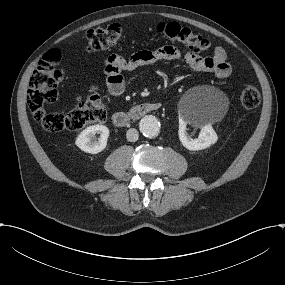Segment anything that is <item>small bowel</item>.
I'll list each match as a JSON object with an SVG mask.
<instances>
[{
	"mask_svg": "<svg viewBox=\"0 0 285 285\" xmlns=\"http://www.w3.org/2000/svg\"><path fill=\"white\" fill-rule=\"evenodd\" d=\"M184 60L193 70L212 73L219 79H225L232 73V66L227 62L226 50L217 46L211 57H202L197 52L178 49L165 45L153 50H140L130 58L125 59L119 55H111L104 62L103 74L108 92L112 96H119L124 91L122 72L132 71L141 66L158 61Z\"/></svg>",
	"mask_w": 285,
	"mask_h": 285,
	"instance_id": "obj_1",
	"label": "small bowel"
}]
</instances>
